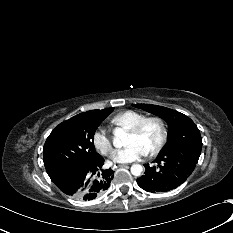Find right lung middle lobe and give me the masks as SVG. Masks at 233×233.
Returning <instances> with one entry per match:
<instances>
[{"mask_svg":"<svg viewBox=\"0 0 233 233\" xmlns=\"http://www.w3.org/2000/svg\"><path fill=\"white\" fill-rule=\"evenodd\" d=\"M113 108L92 110L59 124L43 147V161L55 183L73 168L92 163L101 157L94 147V134Z\"/></svg>","mask_w":233,"mask_h":233,"instance_id":"dd1d6c3e","label":"right lung middle lobe"}]
</instances>
